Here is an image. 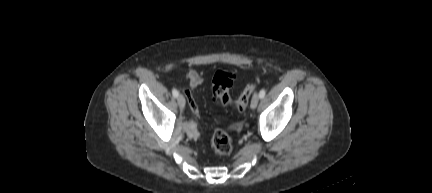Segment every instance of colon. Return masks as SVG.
<instances>
[{"label": "colon", "instance_id": "colon-1", "mask_svg": "<svg viewBox=\"0 0 432 193\" xmlns=\"http://www.w3.org/2000/svg\"><path fill=\"white\" fill-rule=\"evenodd\" d=\"M236 77L233 73L227 71H218L212 81V91L215 99L224 106H230L237 111H244L248 105L252 93L255 91L254 84L247 85L236 100H232L230 90ZM212 148L219 156L230 154L233 148L232 138L222 129H215L212 136Z\"/></svg>", "mask_w": 432, "mask_h": 193}]
</instances>
